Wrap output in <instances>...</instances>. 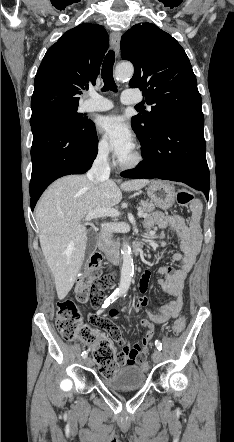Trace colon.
<instances>
[{
    "mask_svg": "<svg viewBox=\"0 0 234 442\" xmlns=\"http://www.w3.org/2000/svg\"><path fill=\"white\" fill-rule=\"evenodd\" d=\"M176 198L181 206H187L193 203L194 200L193 194L184 188L177 191ZM101 260V255L95 253L89 261L87 272L77 281L75 297L78 302H90L98 306L103 299L105 290L110 287L113 275H102L100 270ZM56 327L64 340H80L92 347L93 358L99 365L100 372L104 377L114 376L119 367L124 364L122 354L115 352L109 339L100 337L95 331L97 328L81 324L80 313L72 300H65L59 304L56 314ZM184 327L185 319H177L172 327L173 334H180ZM111 338L113 339V337ZM141 368L144 371L150 368L145 359L142 361Z\"/></svg>",
    "mask_w": 234,
    "mask_h": 442,
    "instance_id": "obj_1",
    "label": "colon"
}]
</instances>
